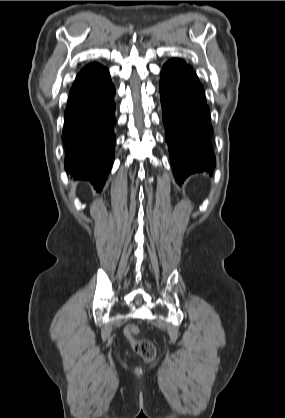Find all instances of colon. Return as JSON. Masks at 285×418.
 <instances>
[{"mask_svg":"<svg viewBox=\"0 0 285 418\" xmlns=\"http://www.w3.org/2000/svg\"><path fill=\"white\" fill-rule=\"evenodd\" d=\"M139 329L135 325H128L125 330V336L132 349L145 361L151 362L156 356V348L148 339L137 338Z\"/></svg>","mask_w":285,"mask_h":418,"instance_id":"colon-1","label":"colon"}]
</instances>
